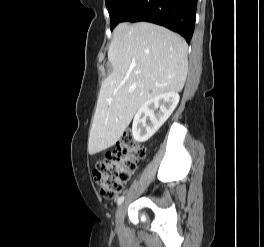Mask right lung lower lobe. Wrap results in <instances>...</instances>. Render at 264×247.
Instances as JSON below:
<instances>
[{"mask_svg": "<svg viewBox=\"0 0 264 247\" xmlns=\"http://www.w3.org/2000/svg\"><path fill=\"white\" fill-rule=\"evenodd\" d=\"M197 0H131L119 17L124 21H146L162 25L190 42L196 18Z\"/></svg>", "mask_w": 264, "mask_h": 247, "instance_id": "right-lung-lower-lobe-1", "label": "right lung lower lobe"}]
</instances>
